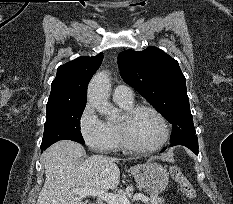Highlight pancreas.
I'll return each instance as SVG.
<instances>
[{"label": "pancreas", "instance_id": "pancreas-1", "mask_svg": "<svg viewBox=\"0 0 233 204\" xmlns=\"http://www.w3.org/2000/svg\"><path fill=\"white\" fill-rule=\"evenodd\" d=\"M122 195L127 196L129 195V192H124ZM150 204H163L164 199L162 197H159L157 194H151L150 196Z\"/></svg>", "mask_w": 233, "mask_h": 204}]
</instances>
